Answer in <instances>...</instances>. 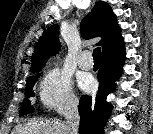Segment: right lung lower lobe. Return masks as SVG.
Returning a JSON list of instances; mask_svg holds the SVG:
<instances>
[{
    "label": "right lung lower lobe",
    "instance_id": "obj_1",
    "mask_svg": "<svg viewBox=\"0 0 153 134\" xmlns=\"http://www.w3.org/2000/svg\"><path fill=\"white\" fill-rule=\"evenodd\" d=\"M125 46L121 42L116 47L102 53V64L98 72L99 89L96 97L82 96L79 103L80 134H104L103 127L111 112L107 96L115 88L125 60Z\"/></svg>",
    "mask_w": 153,
    "mask_h": 134
}]
</instances>
